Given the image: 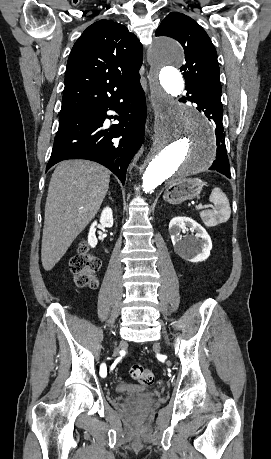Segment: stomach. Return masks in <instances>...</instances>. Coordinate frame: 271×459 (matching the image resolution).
I'll return each mask as SVG.
<instances>
[{
	"instance_id": "0dacf381",
	"label": "stomach",
	"mask_w": 271,
	"mask_h": 459,
	"mask_svg": "<svg viewBox=\"0 0 271 459\" xmlns=\"http://www.w3.org/2000/svg\"><path fill=\"white\" fill-rule=\"evenodd\" d=\"M203 182L198 178H183V180H173L167 186L164 194L166 202L169 204H181L185 200H194L202 190Z\"/></svg>"
}]
</instances>
